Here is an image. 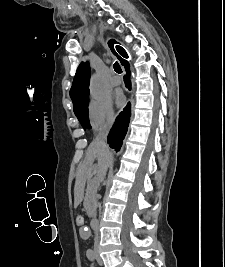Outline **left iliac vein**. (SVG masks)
Masks as SVG:
<instances>
[{
    "mask_svg": "<svg viewBox=\"0 0 225 267\" xmlns=\"http://www.w3.org/2000/svg\"><path fill=\"white\" fill-rule=\"evenodd\" d=\"M96 257H97V262L100 266H102L103 262L102 259L99 257L98 253H96Z\"/></svg>",
    "mask_w": 225,
    "mask_h": 267,
    "instance_id": "obj_1",
    "label": "left iliac vein"
}]
</instances>
